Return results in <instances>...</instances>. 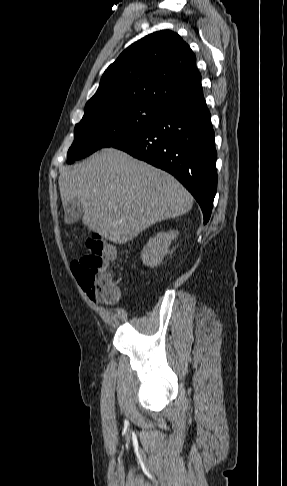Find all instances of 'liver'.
I'll return each mask as SVG.
<instances>
[{"label": "liver", "instance_id": "1", "mask_svg": "<svg viewBox=\"0 0 287 486\" xmlns=\"http://www.w3.org/2000/svg\"><path fill=\"white\" fill-rule=\"evenodd\" d=\"M59 189L64 207L78 199L83 224L116 244L193 206V197L173 176L113 148L62 168Z\"/></svg>", "mask_w": 287, "mask_h": 486}]
</instances>
